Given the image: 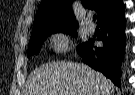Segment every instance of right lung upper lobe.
Returning <instances> with one entry per match:
<instances>
[{
  "mask_svg": "<svg viewBox=\"0 0 135 95\" xmlns=\"http://www.w3.org/2000/svg\"><path fill=\"white\" fill-rule=\"evenodd\" d=\"M82 4L97 11L99 25L124 16L122 0H82ZM77 27L78 23L71 12V0H42L32 33L76 30Z\"/></svg>",
  "mask_w": 135,
  "mask_h": 95,
  "instance_id": "1",
  "label": "right lung upper lobe"
}]
</instances>
